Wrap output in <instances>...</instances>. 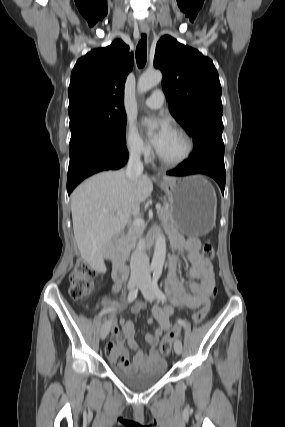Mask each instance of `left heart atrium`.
<instances>
[{
    "instance_id": "left-heart-atrium-1",
    "label": "left heart atrium",
    "mask_w": 285,
    "mask_h": 427,
    "mask_svg": "<svg viewBox=\"0 0 285 427\" xmlns=\"http://www.w3.org/2000/svg\"><path fill=\"white\" fill-rule=\"evenodd\" d=\"M153 122H157L159 124V129L156 134L151 138V143L156 150H158L167 135L172 131L169 124L166 121H155L153 119H146L143 122L144 126H148Z\"/></svg>"
}]
</instances>
